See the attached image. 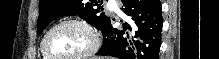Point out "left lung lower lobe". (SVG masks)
I'll use <instances>...</instances> for the list:
<instances>
[{"instance_id": "obj_1", "label": "left lung lower lobe", "mask_w": 219, "mask_h": 59, "mask_svg": "<svg viewBox=\"0 0 219 59\" xmlns=\"http://www.w3.org/2000/svg\"><path fill=\"white\" fill-rule=\"evenodd\" d=\"M121 1L128 22L119 30L111 26L109 19L101 30L103 44L96 55L118 59H159L162 30L160 1Z\"/></svg>"}]
</instances>
